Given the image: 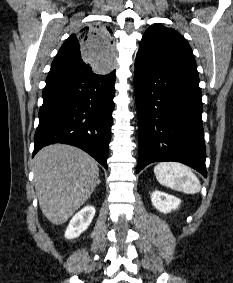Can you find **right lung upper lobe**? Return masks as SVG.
Wrapping results in <instances>:
<instances>
[{
	"mask_svg": "<svg viewBox=\"0 0 233 283\" xmlns=\"http://www.w3.org/2000/svg\"><path fill=\"white\" fill-rule=\"evenodd\" d=\"M110 34L106 26L84 27L72 34L61 46L48 75L113 70L116 44L112 43H117V38Z\"/></svg>",
	"mask_w": 233,
	"mask_h": 283,
	"instance_id": "obj_1",
	"label": "right lung upper lobe"
}]
</instances>
